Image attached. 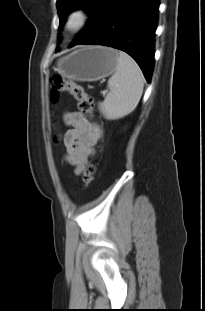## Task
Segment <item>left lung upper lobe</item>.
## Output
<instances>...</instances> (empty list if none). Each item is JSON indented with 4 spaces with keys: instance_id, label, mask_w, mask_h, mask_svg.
<instances>
[{
    "instance_id": "5c2ea615",
    "label": "left lung upper lobe",
    "mask_w": 205,
    "mask_h": 311,
    "mask_svg": "<svg viewBox=\"0 0 205 311\" xmlns=\"http://www.w3.org/2000/svg\"><path fill=\"white\" fill-rule=\"evenodd\" d=\"M113 2L114 0H57L60 25L64 24L66 15L73 9L84 8L92 17L72 45H75L104 19Z\"/></svg>"
}]
</instances>
